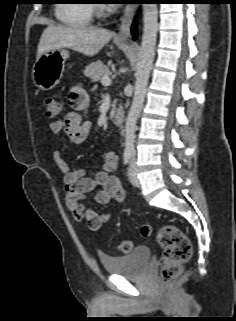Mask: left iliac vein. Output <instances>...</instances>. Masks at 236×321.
<instances>
[{
	"instance_id": "4c4485c4",
	"label": "left iliac vein",
	"mask_w": 236,
	"mask_h": 321,
	"mask_svg": "<svg viewBox=\"0 0 236 321\" xmlns=\"http://www.w3.org/2000/svg\"><path fill=\"white\" fill-rule=\"evenodd\" d=\"M128 177L132 185L134 186H139L140 182L137 177V169L134 160H131L130 162V167H129V172H128Z\"/></svg>"
}]
</instances>
